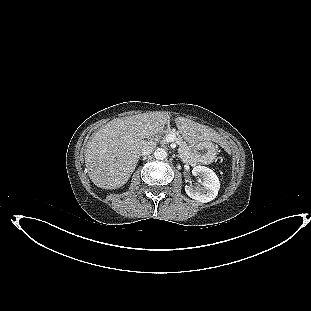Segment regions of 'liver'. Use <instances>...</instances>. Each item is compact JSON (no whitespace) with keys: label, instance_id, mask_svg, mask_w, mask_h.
<instances>
[{"label":"liver","instance_id":"6515ba94","mask_svg":"<svg viewBox=\"0 0 311 311\" xmlns=\"http://www.w3.org/2000/svg\"><path fill=\"white\" fill-rule=\"evenodd\" d=\"M169 121L167 112H148L117 118L95 132L85 150V162L91 181L103 189L123 186L135 170L144 139L158 134ZM182 132H189L198 139H210L207 127L189 119L175 120Z\"/></svg>","mask_w":311,"mask_h":311}]
</instances>
